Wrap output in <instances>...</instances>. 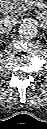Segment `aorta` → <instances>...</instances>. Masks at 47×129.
Wrapping results in <instances>:
<instances>
[{"instance_id":"aorta-1","label":"aorta","mask_w":47,"mask_h":129,"mask_svg":"<svg viewBox=\"0 0 47 129\" xmlns=\"http://www.w3.org/2000/svg\"><path fill=\"white\" fill-rule=\"evenodd\" d=\"M18 32L21 37L25 39H32L36 37L38 33V29L33 21L26 20L20 24L18 28Z\"/></svg>"}]
</instances>
